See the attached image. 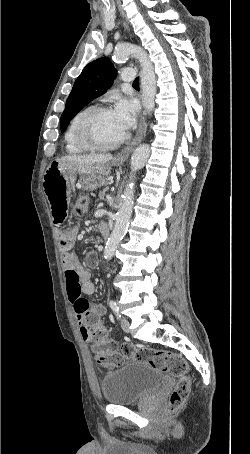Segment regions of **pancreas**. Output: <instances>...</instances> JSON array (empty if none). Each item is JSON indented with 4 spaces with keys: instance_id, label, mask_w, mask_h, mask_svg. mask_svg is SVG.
<instances>
[{
    "instance_id": "obj_1",
    "label": "pancreas",
    "mask_w": 250,
    "mask_h": 454,
    "mask_svg": "<svg viewBox=\"0 0 250 454\" xmlns=\"http://www.w3.org/2000/svg\"><path fill=\"white\" fill-rule=\"evenodd\" d=\"M104 195H105V190H103L102 192L99 193V197H100L101 199L104 198Z\"/></svg>"
}]
</instances>
